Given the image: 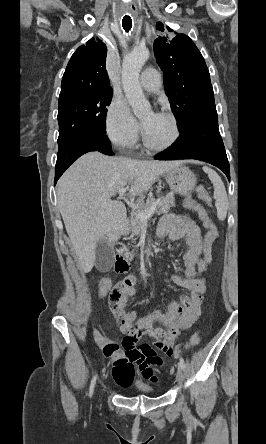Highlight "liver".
<instances>
[{"mask_svg": "<svg viewBox=\"0 0 266 444\" xmlns=\"http://www.w3.org/2000/svg\"><path fill=\"white\" fill-rule=\"evenodd\" d=\"M181 163L109 157L96 151L81 156L62 175L57 184L58 207L83 272L96 264L101 239L112 245L127 231L126 207L111 197L125 186L135 197Z\"/></svg>", "mask_w": 266, "mask_h": 444, "instance_id": "1", "label": "liver"}]
</instances>
